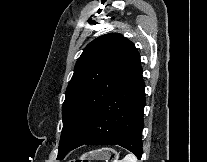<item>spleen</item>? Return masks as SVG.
Here are the masks:
<instances>
[{
  "instance_id": "spleen-1",
  "label": "spleen",
  "mask_w": 207,
  "mask_h": 162,
  "mask_svg": "<svg viewBox=\"0 0 207 162\" xmlns=\"http://www.w3.org/2000/svg\"><path fill=\"white\" fill-rule=\"evenodd\" d=\"M114 162H138V159L135 155L133 154H127L123 160L120 161H114Z\"/></svg>"
}]
</instances>
